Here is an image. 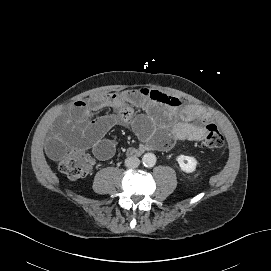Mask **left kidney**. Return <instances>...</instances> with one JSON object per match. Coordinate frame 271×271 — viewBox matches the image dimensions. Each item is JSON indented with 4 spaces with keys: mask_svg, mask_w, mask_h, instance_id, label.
I'll list each match as a JSON object with an SVG mask.
<instances>
[{
    "mask_svg": "<svg viewBox=\"0 0 271 271\" xmlns=\"http://www.w3.org/2000/svg\"><path fill=\"white\" fill-rule=\"evenodd\" d=\"M177 162L180 166V169L185 173H193L196 170V166L198 164L194 157L187 155H179L177 157Z\"/></svg>",
    "mask_w": 271,
    "mask_h": 271,
    "instance_id": "5707ae66",
    "label": "left kidney"
}]
</instances>
